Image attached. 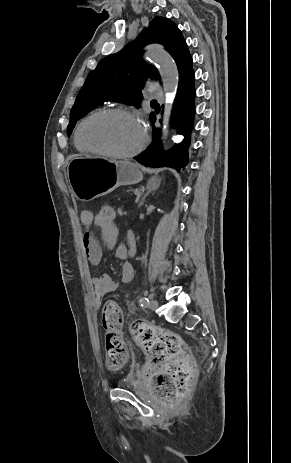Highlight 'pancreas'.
I'll return each mask as SVG.
<instances>
[{
	"mask_svg": "<svg viewBox=\"0 0 291 463\" xmlns=\"http://www.w3.org/2000/svg\"><path fill=\"white\" fill-rule=\"evenodd\" d=\"M134 192V189L133 188H126V189H123V194L126 195V196H131L132 193Z\"/></svg>",
	"mask_w": 291,
	"mask_h": 463,
	"instance_id": "1",
	"label": "pancreas"
}]
</instances>
